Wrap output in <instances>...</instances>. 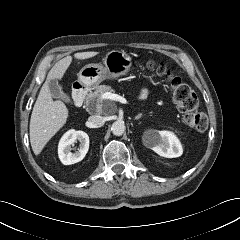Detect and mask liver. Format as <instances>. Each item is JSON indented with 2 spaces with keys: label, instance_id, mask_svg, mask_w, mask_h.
<instances>
[{
  "label": "liver",
  "instance_id": "1",
  "mask_svg": "<svg viewBox=\"0 0 240 240\" xmlns=\"http://www.w3.org/2000/svg\"><path fill=\"white\" fill-rule=\"evenodd\" d=\"M98 52H79L74 57L84 60L96 56ZM72 62L67 56L58 61L49 71L30 119V143L35 155H39L47 142L64 126L68 118V109L62 101H54L49 91L48 83L52 79H62Z\"/></svg>",
  "mask_w": 240,
  "mask_h": 240
}]
</instances>
